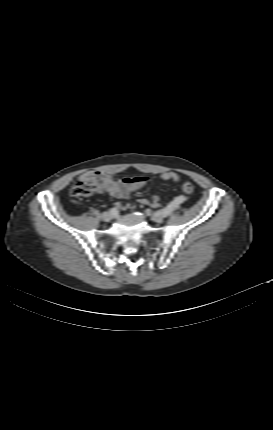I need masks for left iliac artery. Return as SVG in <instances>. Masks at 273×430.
Instances as JSON below:
<instances>
[{
    "mask_svg": "<svg viewBox=\"0 0 273 430\" xmlns=\"http://www.w3.org/2000/svg\"><path fill=\"white\" fill-rule=\"evenodd\" d=\"M184 201H185L184 196H182V195L177 196L176 200L172 201L165 208H163V209L160 210V214L163 217H166V216L170 215L172 213V211L175 209V207L178 204L184 203Z\"/></svg>",
    "mask_w": 273,
    "mask_h": 430,
    "instance_id": "left-iliac-artery-1",
    "label": "left iliac artery"
}]
</instances>
